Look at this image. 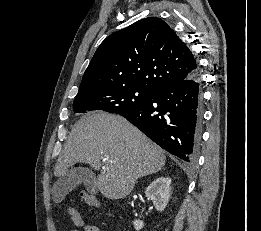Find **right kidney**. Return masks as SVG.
Instances as JSON below:
<instances>
[{
	"mask_svg": "<svg viewBox=\"0 0 261 231\" xmlns=\"http://www.w3.org/2000/svg\"><path fill=\"white\" fill-rule=\"evenodd\" d=\"M171 179L168 177H159L154 180L145 191V195L152 200L157 211L162 212L168 204L170 198ZM133 225L136 231L143 228L144 223L141 220H134Z\"/></svg>",
	"mask_w": 261,
	"mask_h": 231,
	"instance_id": "1",
	"label": "right kidney"
}]
</instances>
